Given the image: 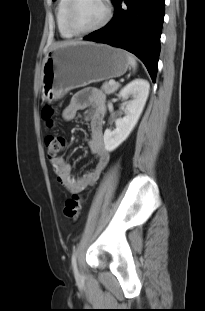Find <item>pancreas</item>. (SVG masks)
Here are the masks:
<instances>
[{
	"instance_id": "cf45deb5",
	"label": "pancreas",
	"mask_w": 205,
	"mask_h": 311,
	"mask_svg": "<svg viewBox=\"0 0 205 311\" xmlns=\"http://www.w3.org/2000/svg\"><path fill=\"white\" fill-rule=\"evenodd\" d=\"M120 87L119 83H115V84H110L109 82H105L101 89L106 93V94H112L115 91H117Z\"/></svg>"
}]
</instances>
